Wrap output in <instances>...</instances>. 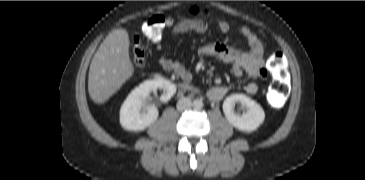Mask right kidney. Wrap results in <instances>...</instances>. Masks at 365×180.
<instances>
[{
  "label": "right kidney",
  "instance_id": "ca27d5eb",
  "mask_svg": "<svg viewBox=\"0 0 365 180\" xmlns=\"http://www.w3.org/2000/svg\"><path fill=\"white\" fill-rule=\"evenodd\" d=\"M157 89L163 91L160 96L163 102L169 101L176 92V86L162 77L147 80L131 91L120 109V124L125 130L142 131L157 120L158 109L144 103L149 94Z\"/></svg>",
  "mask_w": 365,
  "mask_h": 180
}]
</instances>
